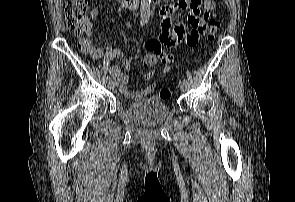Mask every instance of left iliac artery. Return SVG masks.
<instances>
[{
  "label": "left iliac artery",
  "mask_w": 295,
  "mask_h": 202,
  "mask_svg": "<svg viewBox=\"0 0 295 202\" xmlns=\"http://www.w3.org/2000/svg\"><path fill=\"white\" fill-rule=\"evenodd\" d=\"M183 83H187L188 84V80L187 79H184L183 80Z\"/></svg>",
  "instance_id": "1"
}]
</instances>
